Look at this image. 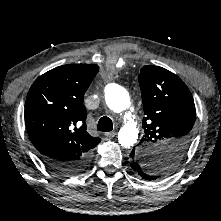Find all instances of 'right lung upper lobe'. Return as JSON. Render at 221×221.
I'll list each match as a JSON object with an SVG mask.
<instances>
[{
    "mask_svg": "<svg viewBox=\"0 0 221 221\" xmlns=\"http://www.w3.org/2000/svg\"><path fill=\"white\" fill-rule=\"evenodd\" d=\"M99 67L70 64L56 67L38 77L25 103L29 138L42 158L65 162L91 156L100 141L86 131L83 104Z\"/></svg>",
    "mask_w": 221,
    "mask_h": 221,
    "instance_id": "cb5924a9",
    "label": "right lung upper lobe"
}]
</instances>
